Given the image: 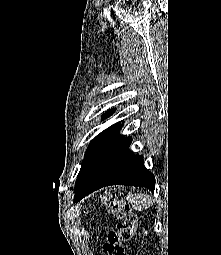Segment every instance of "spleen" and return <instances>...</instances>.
<instances>
[{
    "label": "spleen",
    "mask_w": 221,
    "mask_h": 255,
    "mask_svg": "<svg viewBox=\"0 0 221 255\" xmlns=\"http://www.w3.org/2000/svg\"><path fill=\"white\" fill-rule=\"evenodd\" d=\"M126 199L137 211L148 209L153 204L152 199L147 194H129Z\"/></svg>",
    "instance_id": "obj_1"
}]
</instances>
